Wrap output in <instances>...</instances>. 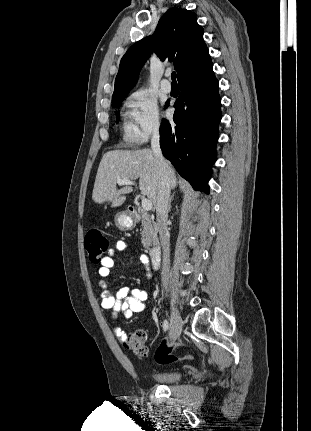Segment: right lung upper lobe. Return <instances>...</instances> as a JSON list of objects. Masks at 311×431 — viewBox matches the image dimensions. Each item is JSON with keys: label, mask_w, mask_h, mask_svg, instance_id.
Returning a JSON list of instances; mask_svg holds the SVG:
<instances>
[{"label": "right lung upper lobe", "mask_w": 311, "mask_h": 431, "mask_svg": "<svg viewBox=\"0 0 311 431\" xmlns=\"http://www.w3.org/2000/svg\"><path fill=\"white\" fill-rule=\"evenodd\" d=\"M203 33L191 11L169 9L159 20L154 34L133 44L122 57L112 99L128 94L153 52L162 61L174 62L179 84L212 65Z\"/></svg>", "instance_id": "obj_1"}]
</instances>
